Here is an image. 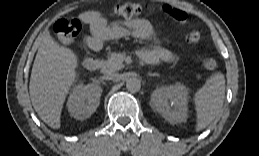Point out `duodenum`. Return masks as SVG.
<instances>
[{
    "label": "duodenum",
    "mask_w": 259,
    "mask_h": 156,
    "mask_svg": "<svg viewBox=\"0 0 259 156\" xmlns=\"http://www.w3.org/2000/svg\"><path fill=\"white\" fill-rule=\"evenodd\" d=\"M100 45L99 43H94L91 47L93 50L99 49ZM101 63L98 59L95 58H87L83 62V66L88 71H95L100 67Z\"/></svg>",
    "instance_id": "1"
}]
</instances>
